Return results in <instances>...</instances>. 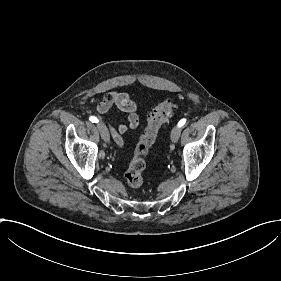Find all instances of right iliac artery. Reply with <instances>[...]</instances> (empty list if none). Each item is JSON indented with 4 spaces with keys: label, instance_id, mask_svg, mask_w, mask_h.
<instances>
[{
    "label": "right iliac artery",
    "instance_id": "right-iliac-artery-1",
    "mask_svg": "<svg viewBox=\"0 0 281 281\" xmlns=\"http://www.w3.org/2000/svg\"><path fill=\"white\" fill-rule=\"evenodd\" d=\"M89 120L92 122V123H98V119L95 117V116H91L89 118Z\"/></svg>",
    "mask_w": 281,
    "mask_h": 281
}]
</instances>
